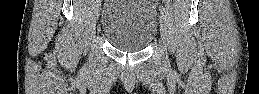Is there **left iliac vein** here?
Instances as JSON below:
<instances>
[{
  "instance_id": "left-iliac-vein-1",
  "label": "left iliac vein",
  "mask_w": 259,
  "mask_h": 94,
  "mask_svg": "<svg viewBox=\"0 0 259 94\" xmlns=\"http://www.w3.org/2000/svg\"><path fill=\"white\" fill-rule=\"evenodd\" d=\"M167 27H168V19H167L166 15L161 14V16H160V33H161V38H162L163 44H165L166 38H167Z\"/></svg>"
}]
</instances>
